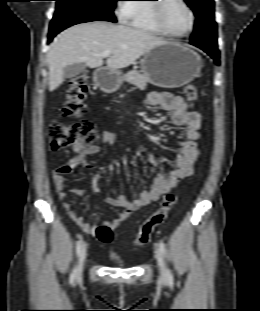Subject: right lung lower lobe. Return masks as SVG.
Segmentation results:
<instances>
[{
  "label": "right lung lower lobe",
  "mask_w": 260,
  "mask_h": 311,
  "mask_svg": "<svg viewBox=\"0 0 260 311\" xmlns=\"http://www.w3.org/2000/svg\"><path fill=\"white\" fill-rule=\"evenodd\" d=\"M90 21H94V20L64 18V19L59 20L58 22L52 21L50 24L48 41L50 42L56 34L66 29L67 27H70L78 23H84V22H90Z\"/></svg>",
  "instance_id": "right-lung-lower-lobe-1"
}]
</instances>
